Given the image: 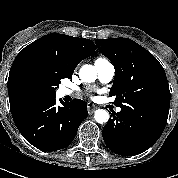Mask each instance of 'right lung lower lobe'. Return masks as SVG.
<instances>
[{"instance_id": "obj_1", "label": "right lung lower lobe", "mask_w": 178, "mask_h": 178, "mask_svg": "<svg viewBox=\"0 0 178 178\" xmlns=\"http://www.w3.org/2000/svg\"><path fill=\"white\" fill-rule=\"evenodd\" d=\"M56 106L54 97H22L10 104L15 125L33 146L44 151L67 147L82 121L88 116L87 104L80 99Z\"/></svg>"}]
</instances>
